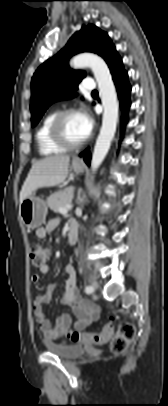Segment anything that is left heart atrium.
<instances>
[{
  "label": "left heart atrium",
  "instance_id": "obj_1",
  "mask_svg": "<svg viewBox=\"0 0 168 406\" xmlns=\"http://www.w3.org/2000/svg\"><path fill=\"white\" fill-rule=\"evenodd\" d=\"M78 115H79L81 126L83 128L84 133H85V136L88 137L90 135V133L92 132V129H93L92 117L85 110L80 111L78 113Z\"/></svg>",
  "mask_w": 168,
  "mask_h": 406
}]
</instances>
